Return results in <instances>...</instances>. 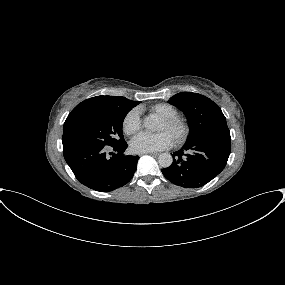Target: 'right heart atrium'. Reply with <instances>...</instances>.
Segmentation results:
<instances>
[{"label": "right heart atrium", "mask_w": 285, "mask_h": 285, "mask_svg": "<svg viewBox=\"0 0 285 285\" xmlns=\"http://www.w3.org/2000/svg\"><path fill=\"white\" fill-rule=\"evenodd\" d=\"M141 129L139 111L131 110L123 121V131L126 135H134Z\"/></svg>", "instance_id": "right-heart-atrium-1"}]
</instances>
